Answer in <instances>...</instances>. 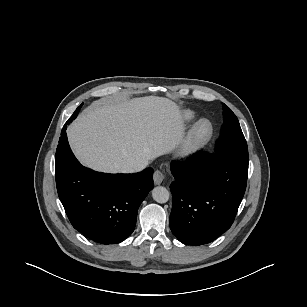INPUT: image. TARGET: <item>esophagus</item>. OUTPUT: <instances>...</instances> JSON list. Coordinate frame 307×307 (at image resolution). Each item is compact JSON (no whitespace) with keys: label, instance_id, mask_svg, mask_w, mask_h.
Masks as SVG:
<instances>
[{"label":"esophagus","instance_id":"1","mask_svg":"<svg viewBox=\"0 0 307 307\" xmlns=\"http://www.w3.org/2000/svg\"><path fill=\"white\" fill-rule=\"evenodd\" d=\"M164 175L160 170H156L153 175V181L155 185H160L163 182Z\"/></svg>","mask_w":307,"mask_h":307}]
</instances>
